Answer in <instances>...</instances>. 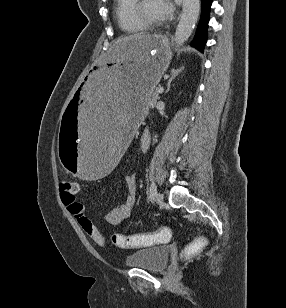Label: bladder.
Masks as SVG:
<instances>
[{
  "label": "bladder",
  "instance_id": "obj_1",
  "mask_svg": "<svg viewBox=\"0 0 286 308\" xmlns=\"http://www.w3.org/2000/svg\"><path fill=\"white\" fill-rule=\"evenodd\" d=\"M170 250L166 245L149 246L130 254L125 264L128 267L142 268L150 271H162L169 261Z\"/></svg>",
  "mask_w": 286,
  "mask_h": 308
}]
</instances>
